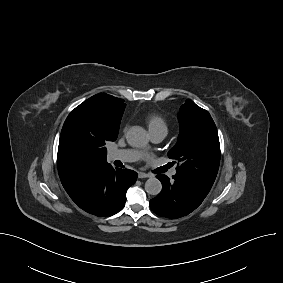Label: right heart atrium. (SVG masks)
<instances>
[{
    "mask_svg": "<svg viewBox=\"0 0 283 283\" xmlns=\"http://www.w3.org/2000/svg\"><path fill=\"white\" fill-rule=\"evenodd\" d=\"M127 128H128V125L126 124V125L124 126L123 130L126 131Z\"/></svg>",
    "mask_w": 283,
    "mask_h": 283,
    "instance_id": "obj_1",
    "label": "right heart atrium"
}]
</instances>
